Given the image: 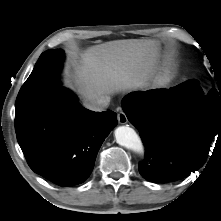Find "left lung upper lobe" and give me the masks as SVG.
Listing matches in <instances>:
<instances>
[{"label":"left lung upper lobe","mask_w":221,"mask_h":221,"mask_svg":"<svg viewBox=\"0 0 221 221\" xmlns=\"http://www.w3.org/2000/svg\"><path fill=\"white\" fill-rule=\"evenodd\" d=\"M201 96H204L203 92L201 93ZM210 96L217 97L218 100H221V91H217L216 89H212L209 91V93L204 96L205 98H209Z\"/></svg>","instance_id":"5c2ea615"}]
</instances>
